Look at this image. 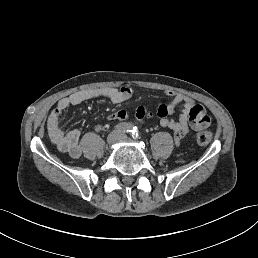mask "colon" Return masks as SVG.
Listing matches in <instances>:
<instances>
[{"label": "colon", "instance_id": "1", "mask_svg": "<svg viewBox=\"0 0 258 258\" xmlns=\"http://www.w3.org/2000/svg\"><path fill=\"white\" fill-rule=\"evenodd\" d=\"M195 140L200 146H207L212 140V133L206 130H200L195 135Z\"/></svg>", "mask_w": 258, "mask_h": 258}]
</instances>
